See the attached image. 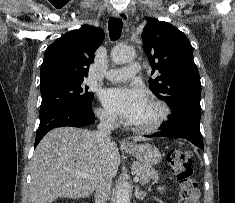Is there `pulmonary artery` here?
<instances>
[{
    "mask_svg": "<svg viewBox=\"0 0 235 203\" xmlns=\"http://www.w3.org/2000/svg\"><path fill=\"white\" fill-rule=\"evenodd\" d=\"M141 66L132 62L126 67L110 69L105 73V78L110 81H124L139 73Z\"/></svg>",
    "mask_w": 235,
    "mask_h": 203,
    "instance_id": "obj_1",
    "label": "pulmonary artery"
}]
</instances>
